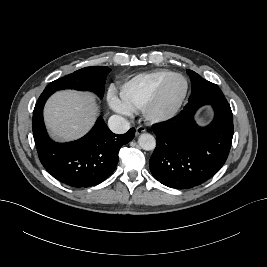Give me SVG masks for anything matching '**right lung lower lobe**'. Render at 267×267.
<instances>
[{
    "label": "right lung lower lobe",
    "instance_id": "obj_1",
    "mask_svg": "<svg viewBox=\"0 0 267 267\" xmlns=\"http://www.w3.org/2000/svg\"><path fill=\"white\" fill-rule=\"evenodd\" d=\"M53 93L43 91L33 112V136L42 165L53 177L72 187L101 183L113 173L119 149L134 138L135 129L114 134L100 117L81 139L56 143L49 138L43 121L44 104Z\"/></svg>",
    "mask_w": 267,
    "mask_h": 267
}]
</instances>
